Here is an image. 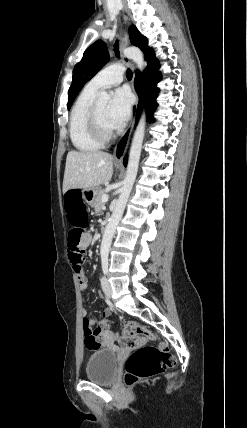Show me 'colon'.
Wrapping results in <instances>:
<instances>
[{
  "instance_id": "obj_1",
  "label": "colon",
  "mask_w": 247,
  "mask_h": 428,
  "mask_svg": "<svg viewBox=\"0 0 247 428\" xmlns=\"http://www.w3.org/2000/svg\"><path fill=\"white\" fill-rule=\"evenodd\" d=\"M80 192L69 190L63 199V216L67 217L68 225L74 226L69 233V248L74 258L81 263L82 251L78 248L79 242L85 230V226L91 225V218L87 216V209ZM112 311L109 308L100 311V324L93 329L87 317L82 318L84 326L85 346L89 350L105 348L108 342L104 339V333L109 331V323ZM152 332L145 326L130 322L125 325L119 344L126 349H134L126 362L125 382L134 385L139 381L161 374L176 364L175 356L169 347L163 343L158 346L146 345L153 339Z\"/></svg>"
}]
</instances>
